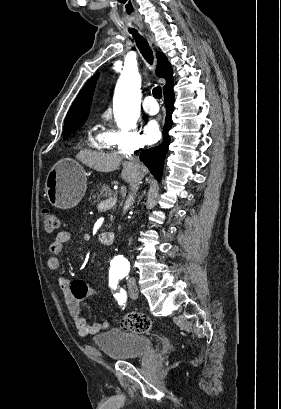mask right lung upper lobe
<instances>
[{"instance_id": "cb5924a9", "label": "right lung upper lobe", "mask_w": 281, "mask_h": 409, "mask_svg": "<svg viewBox=\"0 0 281 409\" xmlns=\"http://www.w3.org/2000/svg\"><path fill=\"white\" fill-rule=\"evenodd\" d=\"M156 58V74L166 80L163 91V93L165 94L167 91L173 88L172 69L170 64L168 63L167 57L163 53H157ZM98 76L99 75L96 74L91 79H89L83 89L80 91L79 95L77 96L76 100L67 113L64 126L83 125L88 116L92 95Z\"/></svg>"}]
</instances>
